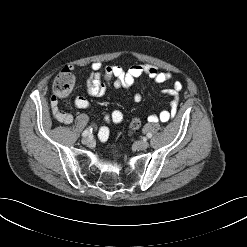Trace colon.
Masks as SVG:
<instances>
[{
    "label": "colon",
    "mask_w": 247,
    "mask_h": 247,
    "mask_svg": "<svg viewBox=\"0 0 247 247\" xmlns=\"http://www.w3.org/2000/svg\"><path fill=\"white\" fill-rule=\"evenodd\" d=\"M74 79L69 69L62 70L53 82V94L55 99L64 98L69 95L73 88ZM141 126L140 118H134L130 124L131 132H136Z\"/></svg>",
    "instance_id": "obj_1"
}]
</instances>
